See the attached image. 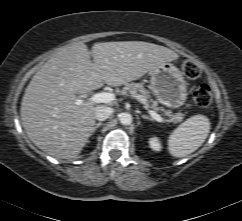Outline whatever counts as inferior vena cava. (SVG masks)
Returning a JSON list of instances; mask_svg holds the SVG:
<instances>
[{
	"instance_id": "obj_1",
	"label": "inferior vena cava",
	"mask_w": 242,
	"mask_h": 221,
	"mask_svg": "<svg viewBox=\"0 0 242 221\" xmlns=\"http://www.w3.org/2000/svg\"><path fill=\"white\" fill-rule=\"evenodd\" d=\"M114 112L113 108L104 105L95 108V118L99 121H104Z\"/></svg>"
}]
</instances>
